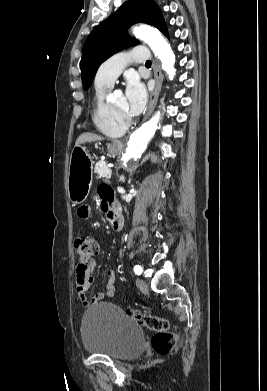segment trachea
<instances>
[{"instance_id": "1", "label": "trachea", "mask_w": 267, "mask_h": 391, "mask_svg": "<svg viewBox=\"0 0 267 391\" xmlns=\"http://www.w3.org/2000/svg\"><path fill=\"white\" fill-rule=\"evenodd\" d=\"M145 65H146V66H151V61H147V62L145 63Z\"/></svg>"}]
</instances>
